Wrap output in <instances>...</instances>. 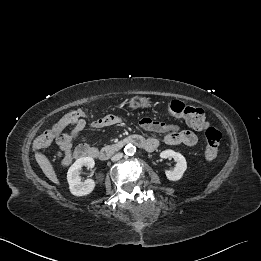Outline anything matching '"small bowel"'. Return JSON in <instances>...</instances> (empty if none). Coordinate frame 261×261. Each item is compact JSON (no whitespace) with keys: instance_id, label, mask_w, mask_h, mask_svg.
Returning a JSON list of instances; mask_svg holds the SVG:
<instances>
[{"instance_id":"1","label":"small bowel","mask_w":261,"mask_h":261,"mask_svg":"<svg viewBox=\"0 0 261 261\" xmlns=\"http://www.w3.org/2000/svg\"><path fill=\"white\" fill-rule=\"evenodd\" d=\"M121 123V119L116 115H106L102 118H99L95 120L91 124L92 129H99L104 127H109L113 125H117ZM59 124V123H58ZM55 125L50 130H53L55 127L58 126ZM141 126L144 129L163 133V142L167 145L177 146V145H183L186 147H194L197 142L198 138L197 136L191 132L186 130H180L179 126L177 125H170L163 122L153 121L149 118H144L141 121ZM155 141V143L158 145L157 139H150ZM59 147L63 152H58V159L63 164H69L72 162V160L76 158H81L85 156L94 157L93 153L95 151H98V148L90 146L86 143H82L77 145L73 150L71 149V142L68 144H59Z\"/></svg>"}]
</instances>
